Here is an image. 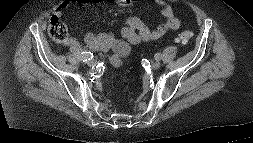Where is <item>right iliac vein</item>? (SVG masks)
I'll return each instance as SVG.
<instances>
[{
	"mask_svg": "<svg viewBox=\"0 0 253 143\" xmlns=\"http://www.w3.org/2000/svg\"><path fill=\"white\" fill-rule=\"evenodd\" d=\"M87 64H88L89 67H93L95 65V61L94 60H89L87 62Z\"/></svg>",
	"mask_w": 253,
	"mask_h": 143,
	"instance_id": "63e3f726",
	"label": "right iliac vein"
}]
</instances>
